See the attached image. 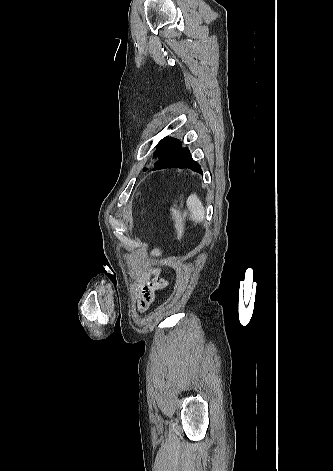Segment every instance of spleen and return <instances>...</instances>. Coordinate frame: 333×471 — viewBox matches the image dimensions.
<instances>
[{"label": "spleen", "mask_w": 333, "mask_h": 471, "mask_svg": "<svg viewBox=\"0 0 333 471\" xmlns=\"http://www.w3.org/2000/svg\"><path fill=\"white\" fill-rule=\"evenodd\" d=\"M186 203L190 212V218L195 222L203 221L205 217V210L198 196L196 194L190 195Z\"/></svg>", "instance_id": "3e777b00"}]
</instances>
